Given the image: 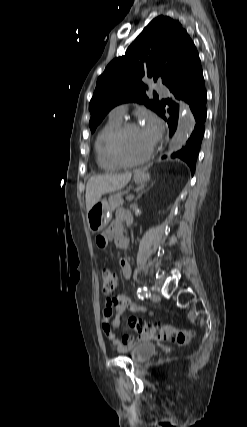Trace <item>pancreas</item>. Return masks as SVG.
Segmentation results:
<instances>
[{
  "instance_id": "obj_1",
  "label": "pancreas",
  "mask_w": 247,
  "mask_h": 427,
  "mask_svg": "<svg viewBox=\"0 0 247 427\" xmlns=\"http://www.w3.org/2000/svg\"><path fill=\"white\" fill-rule=\"evenodd\" d=\"M123 195H124V193H120V194L110 196L109 202H110V207L112 210L119 208L120 206H122L124 204Z\"/></svg>"
}]
</instances>
